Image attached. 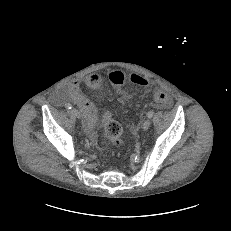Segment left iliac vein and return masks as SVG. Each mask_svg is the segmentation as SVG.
Listing matches in <instances>:
<instances>
[{
  "label": "left iliac vein",
  "instance_id": "left-iliac-vein-1",
  "mask_svg": "<svg viewBox=\"0 0 231 231\" xmlns=\"http://www.w3.org/2000/svg\"><path fill=\"white\" fill-rule=\"evenodd\" d=\"M150 125H151L150 119H146V120L143 122V125H142L143 130H145V131L148 130L149 127H150Z\"/></svg>",
  "mask_w": 231,
  "mask_h": 231
}]
</instances>
